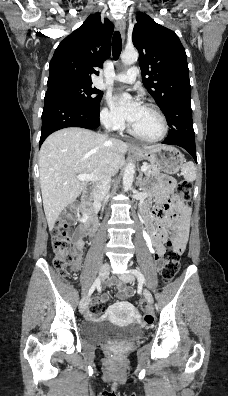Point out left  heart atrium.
Segmentation results:
<instances>
[{
  "instance_id": "39dd6f15",
  "label": "left heart atrium",
  "mask_w": 228,
  "mask_h": 396,
  "mask_svg": "<svg viewBox=\"0 0 228 396\" xmlns=\"http://www.w3.org/2000/svg\"><path fill=\"white\" fill-rule=\"evenodd\" d=\"M110 104L116 116L132 124L136 121L142 108L138 100L126 103L121 94L114 95Z\"/></svg>"
}]
</instances>
